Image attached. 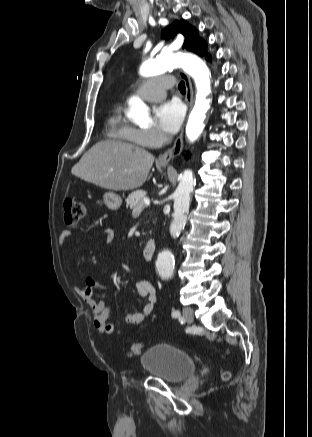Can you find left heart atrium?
I'll return each mask as SVG.
<instances>
[{"label":"left heart atrium","mask_w":312,"mask_h":437,"mask_svg":"<svg viewBox=\"0 0 312 437\" xmlns=\"http://www.w3.org/2000/svg\"><path fill=\"white\" fill-rule=\"evenodd\" d=\"M158 127L166 134H174L178 131L183 118L184 108L176 100L162 103L155 112Z\"/></svg>","instance_id":"1"}]
</instances>
